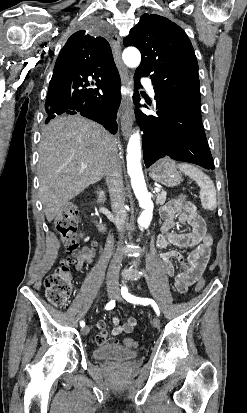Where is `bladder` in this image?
I'll use <instances>...</instances> for the list:
<instances>
[{
  "label": "bladder",
  "instance_id": "bladder-1",
  "mask_svg": "<svg viewBox=\"0 0 247 413\" xmlns=\"http://www.w3.org/2000/svg\"><path fill=\"white\" fill-rule=\"evenodd\" d=\"M95 360H131L137 356V352L131 351L128 348L116 347V346H102L94 347Z\"/></svg>",
  "mask_w": 247,
  "mask_h": 413
}]
</instances>
